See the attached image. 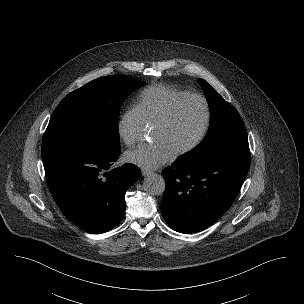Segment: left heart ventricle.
I'll use <instances>...</instances> for the list:
<instances>
[{"instance_id": "left-heart-ventricle-1", "label": "left heart ventricle", "mask_w": 304, "mask_h": 304, "mask_svg": "<svg viewBox=\"0 0 304 304\" xmlns=\"http://www.w3.org/2000/svg\"><path fill=\"white\" fill-rule=\"evenodd\" d=\"M204 120V108L199 100L184 102L165 127H154L153 141L167 145L173 153L189 145L197 137Z\"/></svg>"}]
</instances>
